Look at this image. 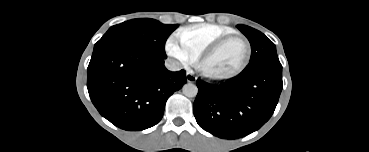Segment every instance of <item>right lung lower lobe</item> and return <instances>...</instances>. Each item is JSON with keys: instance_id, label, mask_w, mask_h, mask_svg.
I'll list each match as a JSON object with an SVG mask.
<instances>
[{"instance_id": "98d812e1", "label": "right lung lower lobe", "mask_w": 369, "mask_h": 152, "mask_svg": "<svg viewBox=\"0 0 369 152\" xmlns=\"http://www.w3.org/2000/svg\"><path fill=\"white\" fill-rule=\"evenodd\" d=\"M164 59L132 44L93 53L87 88L99 113L127 131L156 125L167 99L186 83V72L168 71Z\"/></svg>"}]
</instances>
